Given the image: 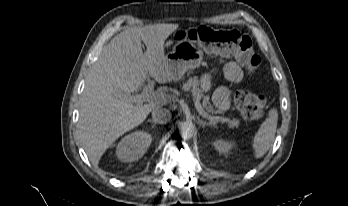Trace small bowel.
Masks as SVG:
<instances>
[{
	"label": "small bowel",
	"mask_w": 348,
	"mask_h": 206,
	"mask_svg": "<svg viewBox=\"0 0 348 206\" xmlns=\"http://www.w3.org/2000/svg\"><path fill=\"white\" fill-rule=\"evenodd\" d=\"M221 71L225 80L228 83L236 84L239 83L243 78V72L240 66L234 61H229L223 64L219 68H214L210 72L204 74L201 78V87L204 91H208L212 85L213 75ZM213 101L215 106L219 110H226L230 106V89L227 85L219 86L213 95Z\"/></svg>",
	"instance_id": "small-bowel-1"
}]
</instances>
